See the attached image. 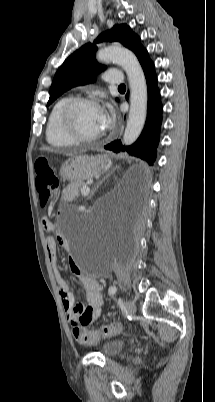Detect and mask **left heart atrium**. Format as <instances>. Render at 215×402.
I'll list each match as a JSON object with an SVG mask.
<instances>
[{
  "label": "left heart atrium",
  "instance_id": "39dd6f15",
  "mask_svg": "<svg viewBox=\"0 0 215 402\" xmlns=\"http://www.w3.org/2000/svg\"><path fill=\"white\" fill-rule=\"evenodd\" d=\"M100 123L102 129H108L113 123V112L110 106L100 108Z\"/></svg>",
  "mask_w": 215,
  "mask_h": 402
}]
</instances>
